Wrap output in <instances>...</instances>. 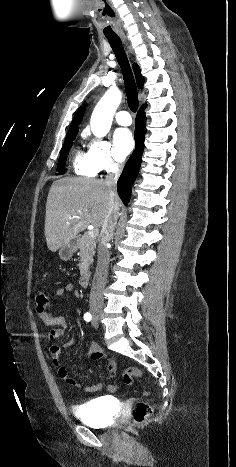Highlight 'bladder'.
Wrapping results in <instances>:
<instances>
[{"instance_id": "1", "label": "bladder", "mask_w": 236, "mask_h": 467, "mask_svg": "<svg viewBox=\"0 0 236 467\" xmlns=\"http://www.w3.org/2000/svg\"><path fill=\"white\" fill-rule=\"evenodd\" d=\"M114 409L113 401L107 397L91 399L75 408V413L84 423L96 428H104L111 424L107 410Z\"/></svg>"}]
</instances>
